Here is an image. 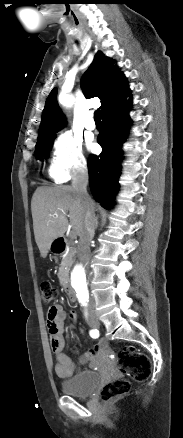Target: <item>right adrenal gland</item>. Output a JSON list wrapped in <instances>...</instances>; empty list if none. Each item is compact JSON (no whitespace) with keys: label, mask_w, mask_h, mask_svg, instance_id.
<instances>
[{"label":"right adrenal gland","mask_w":183,"mask_h":438,"mask_svg":"<svg viewBox=\"0 0 183 438\" xmlns=\"http://www.w3.org/2000/svg\"><path fill=\"white\" fill-rule=\"evenodd\" d=\"M95 226L98 227V217L95 218Z\"/></svg>","instance_id":"right-adrenal-gland-1"}]
</instances>
